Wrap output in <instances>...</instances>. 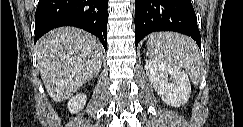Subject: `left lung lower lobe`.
<instances>
[{"label": "left lung lower lobe", "instance_id": "1", "mask_svg": "<svg viewBox=\"0 0 243 127\" xmlns=\"http://www.w3.org/2000/svg\"><path fill=\"white\" fill-rule=\"evenodd\" d=\"M155 31H175L201 45L191 0H135V44Z\"/></svg>", "mask_w": 243, "mask_h": 127}]
</instances>
